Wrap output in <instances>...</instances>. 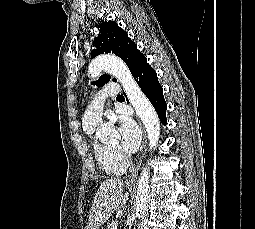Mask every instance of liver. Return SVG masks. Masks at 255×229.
I'll return each mask as SVG.
<instances>
[{"label": "liver", "mask_w": 255, "mask_h": 229, "mask_svg": "<svg viewBox=\"0 0 255 229\" xmlns=\"http://www.w3.org/2000/svg\"><path fill=\"white\" fill-rule=\"evenodd\" d=\"M123 188L124 181L120 178L101 183L93 200L86 229H98L120 205L126 204L129 193L123 194Z\"/></svg>", "instance_id": "liver-1"}]
</instances>
